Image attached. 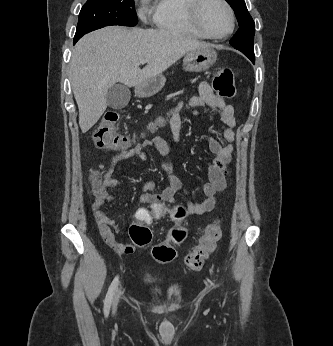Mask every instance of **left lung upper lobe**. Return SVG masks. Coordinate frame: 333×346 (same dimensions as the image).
I'll return each instance as SVG.
<instances>
[{
    "label": "left lung upper lobe",
    "mask_w": 333,
    "mask_h": 346,
    "mask_svg": "<svg viewBox=\"0 0 333 346\" xmlns=\"http://www.w3.org/2000/svg\"><path fill=\"white\" fill-rule=\"evenodd\" d=\"M235 12L238 24V29L230 44L237 50L244 53L253 63L254 55V34L255 23L250 16L244 0H226Z\"/></svg>",
    "instance_id": "left-lung-upper-lobe-1"
}]
</instances>
